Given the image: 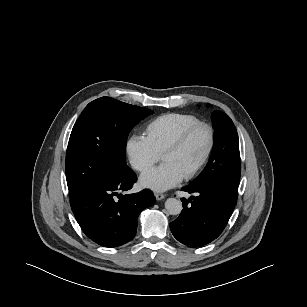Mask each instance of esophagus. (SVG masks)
<instances>
[{"label":"esophagus","mask_w":307,"mask_h":307,"mask_svg":"<svg viewBox=\"0 0 307 307\" xmlns=\"http://www.w3.org/2000/svg\"><path fill=\"white\" fill-rule=\"evenodd\" d=\"M154 196H155L156 200H162V199L165 198V194L158 193V192H155Z\"/></svg>","instance_id":"esophagus-1"}]
</instances>
